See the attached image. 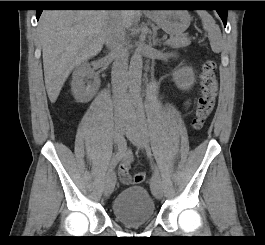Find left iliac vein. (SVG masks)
I'll return each instance as SVG.
<instances>
[{"instance_id":"4c4485c4","label":"left iliac vein","mask_w":265,"mask_h":245,"mask_svg":"<svg viewBox=\"0 0 265 245\" xmlns=\"http://www.w3.org/2000/svg\"><path fill=\"white\" fill-rule=\"evenodd\" d=\"M127 138L138 148L147 150V139L143 132L140 123L137 120H130L127 122L126 127ZM152 193L157 199H161L163 196L160 177L154 175L152 177Z\"/></svg>"}]
</instances>
